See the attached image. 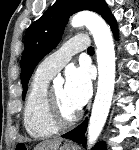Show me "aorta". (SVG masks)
<instances>
[{
  "label": "aorta",
  "instance_id": "762f6f07",
  "mask_svg": "<svg viewBox=\"0 0 139 150\" xmlns=\"http://www.w3.org/2000/svg\"><path fill=\"white\" fill-rule=\"evenodd\" d=\"M73 27L86 26L97 47L98 87L88 125V148L97 141L106 122L115 84V49L111 30L104 19L91 11H81L71 19Z\"/></svg>",
  "mask_w": 139,
  "mask_h": 150
}]
</instances>
